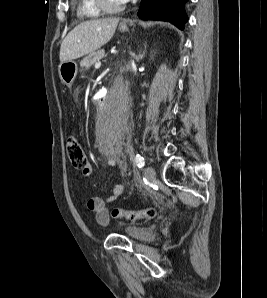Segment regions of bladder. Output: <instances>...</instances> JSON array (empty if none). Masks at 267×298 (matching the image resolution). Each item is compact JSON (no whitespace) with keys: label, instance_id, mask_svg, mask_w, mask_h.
I'll return each instance as SVG.
<instances>
[{"label":"bladder","instance_id":"31cf9c89","mask_svg":"<svg viewBox=\"0 0 267 298\" xmlns=\"http://www.w3.org/2000/svg\"><path fill=\"white\" fill-rule=\"evenodd\" d=\"M125 233L131 239L140 242H152L156 238V232L154 228L148 226L128 227L125 229Z\"/></svg>","mask_w":267,"mask_h":298}]
</instances>
